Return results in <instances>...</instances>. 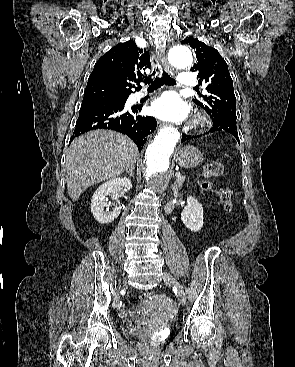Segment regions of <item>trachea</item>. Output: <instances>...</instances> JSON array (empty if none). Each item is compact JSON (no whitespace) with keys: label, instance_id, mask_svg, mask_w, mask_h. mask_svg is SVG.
Segmentation results:
<instances>
[{"label":"trachea","instance_id":"1","mask_svg":"<svg viewBox=\"0 0 295 367\" xmlns=\"http://www.w3.org/2000/svg\"><path fill=\"white\" fill-rule=\"evenodd\" d=\"M153 73H155V70ZM163 84L176 85V81L173 78H171L164 70L162 71V76L161 77L157 76L156 79L149 85L148 91L155 90L161 87Z\"/></svg>","mask_w":295,"mask_h":367}]
</instances>
